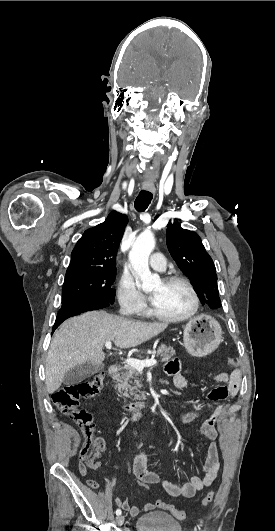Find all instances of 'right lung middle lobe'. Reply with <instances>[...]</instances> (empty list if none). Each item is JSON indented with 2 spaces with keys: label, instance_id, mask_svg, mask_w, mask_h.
Here are the masks:
<instances>
[{
  "label": "right lung middle lobe",
  "instance_id": "dd1d6c3e",
  "mask_svg": "<svg viewBox=\"0 0 275 531\" xmlns=\"http://www.w3.org/2000/svg\"><path fill=\"white\" fill-rule=\"evenodd\" d=\"M116 270L89 269L66 273L62 301L83 299L109 306L114 303Z\"/></svg>",
  "mask_w": 275,
  "mask_h": 531
}]
</instances>
